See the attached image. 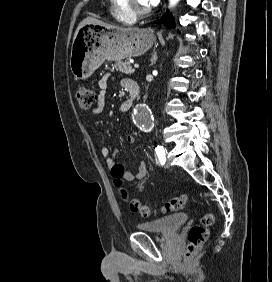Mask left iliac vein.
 <instances>
[{
	"instance_id": "1",
	"label": "left iliac vein",
	"mask_w": 272,
	"mask_h": 282,
	"mask_svg": "<svg viewBox=\"0 0 272 282\" xmlns=\"http://www.w3.org/2000/svg\"><path fill=\"white\" fill-rule=\"evenodd\" d=\"M165 166H166V167H169V166H170L169 162H166V163H165Z\"/></svg>"
}]
</instances>
